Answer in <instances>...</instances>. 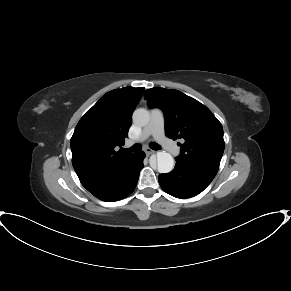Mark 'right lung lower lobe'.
Returning <instances> with one entry per match:
<instances>
[{"mask_svg":"<svg viewBox=\"0 0 291 291\" xmlns=\"http://www.w3.org/2000/svg\"><path fill=\"white\" fill-rule=\"evenodd\" d=\"M144 157L143 151L133 153L128 160L114 169L80 179V182L98 199L107 202L118 201L134 191L143 168Z\"/></svg>","mask_w":291,"mask_h":291,"instance_id":"obj_1","label":"right lung lower lobe"}]
</instances>
